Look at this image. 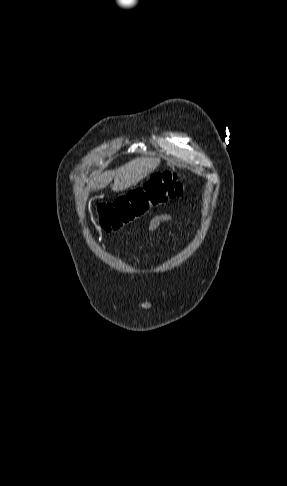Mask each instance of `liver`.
I'll use <instances>...</instances> for the list:
<instances>
[{"mask_svg": "<svg viewBox=\"0 0 287 486\" xmlns=\"http://www.w3.org/2000/svg\"><path fill=\"white\" fill-rule=\"evenodd\" d=\"M160 162L159 158L154 157H140L133 159L116 170L102 173L93 185V189H103L110 184L112 179H114V184L112 185L113 191L118 192L126 190L129 187L136 185L149 173L155 170Z\"/></svg>", "mask_w": 287, "mask_h": 486, "instance_id": "obj_1", "label": "liver"}]
</instances>
